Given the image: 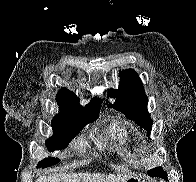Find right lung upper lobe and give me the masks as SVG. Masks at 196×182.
<instances>
[{
	"instance_id": "1",
	"label": "right lung upper lobe",
	"mask_w": 196,
	"mask_h": 182,
	"mask_svg": "<svg viewBox=\"0 0 196 182\" xmlns=\"http://www.w3.org/2000/svg\"><path fill=\"white\" fill-rule=\"evenodd\" d=\"M60 113L88 117L99 112L102 100L93 98L85 107L79 105V98L70 90L63 88L56 95Z\"/></svg>"
}]
</instances>
